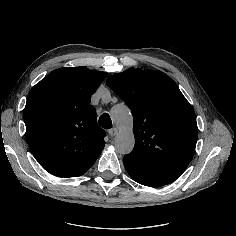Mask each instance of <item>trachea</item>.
Here are the masks:
<instances>
[{"mask_svg": "<svg viewBox=\"0 0 236 236\" xmlns=\"http://www.w3.org/2000/svg\"><path fill=\"white\" fill-rule=\"evenodd\" d=\"M99 125L105 129H110L112 127V121L107 113H103L99 118Z\"/></svg>", "mask_w": 236, "mask_h": 236, "instance_id": "obj_1", "label": "trachea"}]
</instances>
